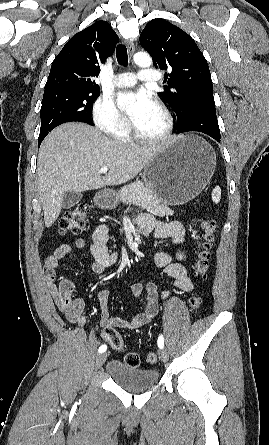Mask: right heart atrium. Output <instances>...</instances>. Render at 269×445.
Listing matches in <instances>:
<instances>
[{
    "instance_id": "d8ad5b80",
    "label": "right heart atrium",
    "mask_w": 269,
    "mask_h": 445,
    "mask_svg": "<svg viewBox=\"0 0 269 445\" xmlns=\"http://www.w3.org/2000/svg\"><path fill=\"white\" fill-rule=\"evenodd\" d=\"M92 118L96 127L105 134L117 136L128 131L127 118L118 110L110 96H100L92 107Z\"/></svg>"
}]
</instances>
